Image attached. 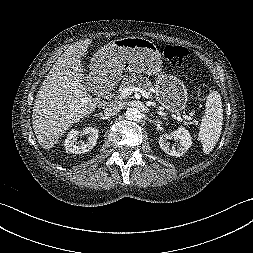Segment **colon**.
I'll return each mask as SVG.
<instances>
[{
	"label": "colon",
	"mask_w": 253,
	"mask_h": 253,
	"mask_svg": "<svg viewBox=\"0 0 253 253\" xmlns=\"http://www.w3.org/2000/svg\"><path fill=\"white\" fill-rule=\"evenodd\" d=\"M161 55L170 64L174 66L182 65L187 58L188 51L185 47L174 45H163L161 47ZM210 94V88L207 85H201L198 89L200 99H206Z\"/></svg>",
	"instance_id": "1"
}]
</instances>
